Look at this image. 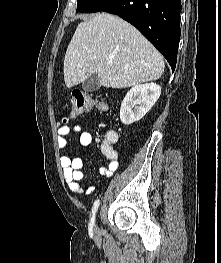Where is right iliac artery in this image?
<instances>
[{"instance_id": "82829eb1", "label": "right iliac artery", "mask_w": 221, "mask_h": 263, "mask_svg": "<svg viewBox=\"0 0 221 263\" xmlns=\"http://www.w3.org/2000/svg\"><path fill=\"white\" fill-rule=\"evenodd\" d=\"M99 204H100V200L97 199L94 204H93V207H92V216H91V220H90V227H93L94 226V222H95V214L98 210V207H99Z\"/></svg>"}]
</instances>
